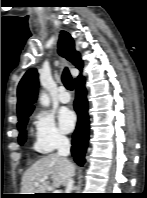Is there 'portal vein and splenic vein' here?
Masks as SVG:
<instances>
[{"mask_svg":"<svg viewBox=\"0 0 147 198\" xmlns=\"http://www.w3.org/2000/svg\"><path fill=\"white\" fill-rule=\"evenodd\" d=\"M47 179H48L47 177H44L39 182H43V181H45ZM54 193H61V191L60 190H55Z\"/></svg>","mask_w":147,"mask_h":198,"instance_id":"portal-vein-and-splenic-vein-1","label":"portal vein and splenic vein"}]
</instances>
